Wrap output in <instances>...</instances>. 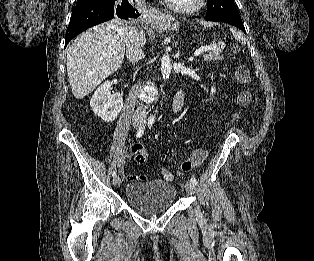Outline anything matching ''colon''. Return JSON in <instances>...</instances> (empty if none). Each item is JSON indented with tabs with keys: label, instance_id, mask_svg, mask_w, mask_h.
I'll use <instances>...</instances> for the list:
<instances>
[{
	"label": "colon",
	"instance_id": "5ec220e1",
	"mask_svg": "<svg viewBox=\"0 0 314 261\" xmlns=\"http://www.w3.org/2000/svg\"><path fill=\"white\" fill-rule=\"evenodd\" d=\"M236 78L237 80L247 87L250 83L251 76L248 68L242 64H237L236 66ZM251 93L248 89L242 91V93L239 95V103L242 107H247L251 103ZM207 150L206 149H199L197 150L193 157L191 159L185 160L181 164V170L183 172L190 171L193 167L201 164L207 157ZM137 162L140 164H145L149 162L148 156L145 155H139L137 158Z\"/></svg>",
	"mask_w": 314,
	"mask_h": 261
}]
</instances>
